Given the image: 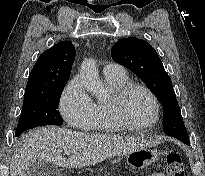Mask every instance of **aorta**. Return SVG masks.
<instances>
[{"label": "aorta", "mask_w": 205, "mask_h": 176, "mask_svg": "<svg viewBox=\"0 0 205 176\" xmlns=\"http://www.w3.org/2000/svg\"><path fill=\"white\" fill-rule=\"evenodd\" d=\"M80 75L82 83L86 90L97 97H102L105 89L101 82L96 67V63L93 59L85 60L80 68Z\"/></svg>", "instance_id": "762f6f07"}]
</instances>
